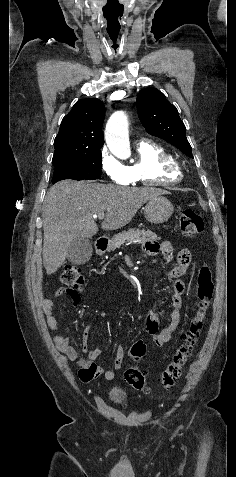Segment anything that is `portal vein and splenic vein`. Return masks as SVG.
<instances>
[{"mask_svg":"<svg viewBox=\"0 0 236 477\" xmlns=\"http://www.w3.org/2000/svg\"><path fill=\"white\" fill-rule=\"evenodd\" d=\"M104 217H105V214H104V213H100V214H98V215H93V218H94V219H97V218H98V219H100V220H103Z\"/></svg>","mask_w":236,"mask_h":477,"instance_id":"1","label":"portal vein and splenic vein"}]
</instances>
